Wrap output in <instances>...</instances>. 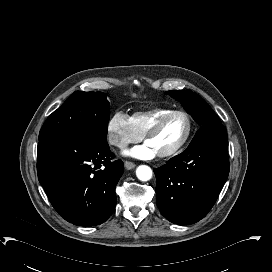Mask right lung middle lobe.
<instances>
[{
    "label": "right lung middle lobe",
    "mask_w": 272,
    "mask_h": 272,
    "mask_svg": "<svg viewBox=\"0 0 272 272\" xmlns=\"http://www.w3.org/2000/svg\"><path fill=\"white\" fill-rule=\"evenodd\" d=\"M110 105L102 92H74L45 121L39 140L60 134L107 138Z\"/></svg>",
    "instance_id": "obj_1"
}]
</instances>
